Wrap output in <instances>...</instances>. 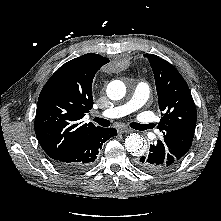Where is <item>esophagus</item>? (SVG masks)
Instances as JSON below:
<instances>
[{
	"label": "esophagus",
	"mask_w": 221,
	"mask_h": 221,
	"mask_svg": "<svg viewBox=\"0 0 221 221\" xmlns=\"http://www.w3.org/2000/svg\"><path fill=\"white\" fill-rule=\"evenodd\" d=\"M118 132H119L120 134L130 133V132H131V129L122 126V127H119V128H118Z\"/></svg>",
	"instance_id": "obj_1"
}]
</instances>
